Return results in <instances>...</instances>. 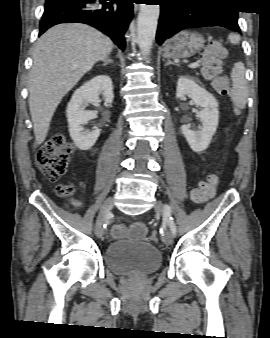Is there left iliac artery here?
I'll return each mask as SVG.
<instances>
[{
  "label": "left iliac artery",
  "mask_w": 270,
  "mask_h": 338,
  "mask_svg": "<svg viewBox=\"0 0 270 338\" xmlns=\"http://www.w3.org/2000/svg\"><path fill=\"white\" fill-rule=\"evenodd\" d=\"M164 220L168 222L173 235L176 236L177 228L171 216V207L169 205H165L164 207Z\"/></svg>",
  "instance_id": "left-iliac-artery-1"
}]
</instances>
